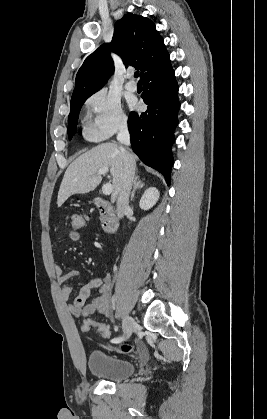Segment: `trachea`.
Here are the masks:
<instances>
[{
    "label": "trachea",
    "instance_id": "3493384b",
    "mask_svg": "<svg viewBox=\"0 0 267 419\" xmlns=\"http://www.w3.org/2000/svg\"><path fill=\"white\" fill-rule=\"evenodd\" d=\"M134 76L137 78V77L139 76V71H136V72L134 73Z\"/></svg>",
    "mask_w": 267,
    "mask_h": 419
}]
</instances>
